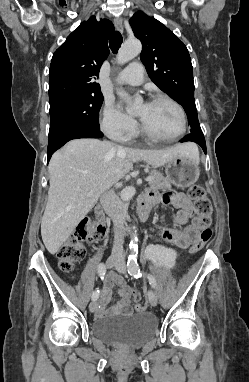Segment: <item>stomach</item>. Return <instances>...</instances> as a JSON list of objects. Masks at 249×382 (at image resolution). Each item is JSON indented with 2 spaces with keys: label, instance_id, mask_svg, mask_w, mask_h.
I'll use <instances>...</instances> for the list:
<instances>
[{
  "label": "stomach",
  "instance_id": "1",
  "mask_svg": "<svg viewBox=\"0 0 249 382\" xmlns=\"http://www.w3.org/2000/svg\"><path fill=\"white\" fill-rule=\"evenodd\" d=\"M165 172L175 186L189 187L199 178V160L191 155H178L167 163Z\"/></svg>",
  "mask_w": 249,
  "mask_h": 382
}]
</instances>
